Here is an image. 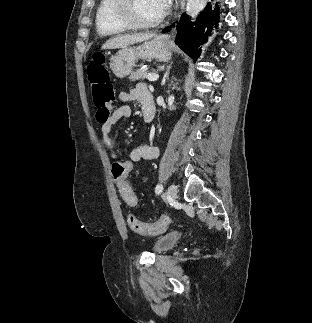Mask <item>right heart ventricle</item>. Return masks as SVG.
<instances>
[{
	"instance_id": "e07e8e85",
	"label": "right heart ventricle",
	"mask_w": 312,
	"mask_h": 323,
	"mask_svg": "<svg viewBox=\"0 0 312 323\" xmlns=\"http://www.w3.org/2000/svg\"><path fill=\"white\" fill-rule=\"evenodd\" d=\"M94 15L95 25L97 29L102 30V33H119L120 29L128 27L122 13H119V5L115 0H97Z\"/></svg>"
}]
</instances>
